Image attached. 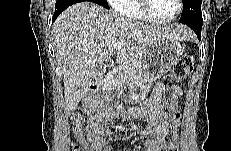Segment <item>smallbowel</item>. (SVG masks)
Returning a JSON list of instances; mask_svg holds the SVG:
<instances>
[{
    "label": "small bowel",
    "mask_w": 231,
    "mask_h": 151,
    "mask_svg": "<svg viewBox=\"0 0 231 151\" xmlns=\"http://www.w3.org/2000/svg\"><path fill=\"white\" fill-rule=\"evenodd\" d=\"M164 93L165 88L162 85H156L152 96L133 113L134 118L145 120L150 126L141 131V135L148 138L144 143V151H164L169 144L170 129L168 113L163 103ZM181 95V88L175 87L172 98L175 99ZM107 117L105 113H98L88 118L86 139L82 138L79 141L78 151H111L108 141L112 133L103 127V121Z\"/></svg>",
    "instance_id": "c3829d8e"
}]
</instances>
